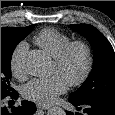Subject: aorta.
Listing matches in <instances>:
<instances>
[{
    "mask_svg": "<svg viewBox=\"0 0 115 115\" xmlns=\"http://www.w3.org/2000/svg\"><path fill=\"white\" fill-rule=\"evenodd\" d=\"M24 67L30 75L43 77L48 73L49 63L43 52L33 50L25 57ZM47 115H66V112L62 108L55 106L48 110Z\"/></svg>",
    "mask_w": 115,
    "mask_h": 115,
    "instance_id": "aorta-1",
    "label": "aorta"
}]
</instances>
